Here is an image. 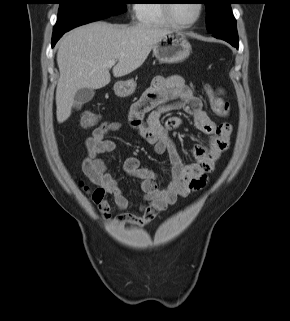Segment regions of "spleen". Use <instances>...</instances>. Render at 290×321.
Listing matches in <instances>:
<instances>
[{
    "label": "spleen",
    "instance_id": "spleen-1",
    "mask_svg": "<svg viewBox=\"0 0 290 321\" xmlns=\"http://www.w3.org/2000/svg\"><path fill=\"white\" fill-rule=\"evenodd\" d=\"M219 104H222V102H221V101H219Z\"/></svg>",
    "mask_w": 290,
    "mask_h": 321
}]
</instances>
